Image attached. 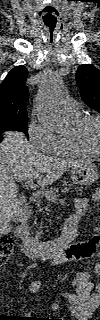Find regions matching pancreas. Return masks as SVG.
Here are the masks:
<instances>
[{
    "mask_svg": "<svg viewBox=\"0 0 100 320\" xmlns=\"http://www.w3.org/2000/svg\"><path fill=\"white\" fill-rule=\"evenodd\" d=\"M52 191H55V189L53 188ZM37 204H38V207L40 208V204H41V200H40V199H38ZM39 210H40V212H43V213H44L43 208H40ZM46 211H47V210H46ZM42 228H43V223L41 222L40 227H39V230L36 231V237H37V238H40V237H41Z\"/></svg>",
    "mask_w": 100,
    "mask_h": 320,
    "instance_id": "obj_1",
    "label": "pancreas"
}]
</instances>
